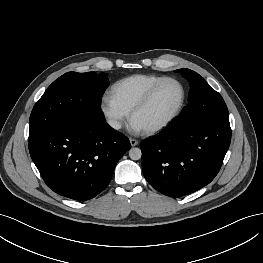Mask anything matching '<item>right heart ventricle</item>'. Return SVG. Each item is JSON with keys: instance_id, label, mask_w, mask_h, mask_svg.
I'll use <instances>...</instances> for the list:
<instances>
[{"instance_id": "right-heart-ventricle-1", "label": "right heart ventricle", "mask_w": 263, "mask_h": 263, "mask_svg": "<svg viewBox=\"0 0 263 263\" xmlns=\"http://www.w3.org/2000/svg\"><path fill=\"white\" fill-rule=\"evenodd\" d=\"M164 76L136 74L115 82L110 90L113 99L127 112L135 106L144 94Z\"/></svg>"}]
</instances>
